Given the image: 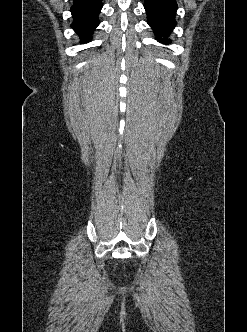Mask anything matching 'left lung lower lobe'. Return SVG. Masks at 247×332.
<instances>
[{
    "mask_svg": "<svg viewBox=\"0 0 247 332\" xmlns=\"http://www.w3.org/2000/svg\"><path fill=\"white\" fill-rule=\"evenodd\" d=\"M144 8L148 17V24L153 28L155 35L167 38L175 28L177 22L176 0H145ZM161 43L169 44L170 40L157 37Z\"/></svg>",
    "mask_w": 247,
    "mask_h": 332,
    "instance_id": "obj_1",
    "label": "left lung lower lobe"
}]
</instances>
